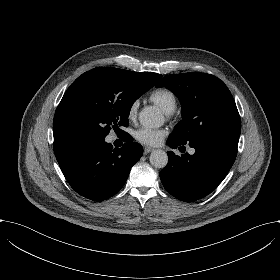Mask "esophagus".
Returning <instances> with one entry per match:
<instances>
[{
    "mask_svg": "<svg viewBox=\"0 0 280 280\" xmlns=\"http://www.w3.org/2000/svg\"><path fill=\"white\" fill-rule=\"evenodd\" d=\"M154 149L153 148H151V147H144V154L145 155H147V154H149L150 152H152Z\"/></svg>",
    "mask_w": 280,
    "mask_h": 280,
    "instance_id": "obj_1",
    "label": "esophagus"
}]
</instances>
